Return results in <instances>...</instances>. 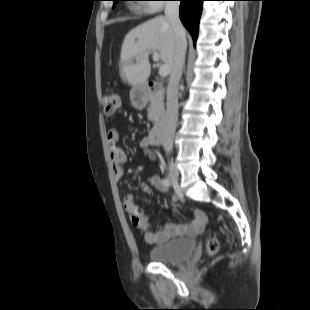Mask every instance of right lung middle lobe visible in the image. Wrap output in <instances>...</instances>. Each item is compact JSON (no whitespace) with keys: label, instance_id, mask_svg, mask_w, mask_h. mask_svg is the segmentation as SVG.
<instances>
[{"label":"right lung middle lobe","instance_id":"1","mask_svg":"<svg viewBox=\"0 0 310 310\" xmlns=\"http://www.w3.org/2000/svg\"><path fill=\"white\" fill-rule=\"evenodd\" d=\"M114 1V3H117V1H119V0H113Z\"/></svg>","mask_w":310,"mask_h":310}]
</instances>
